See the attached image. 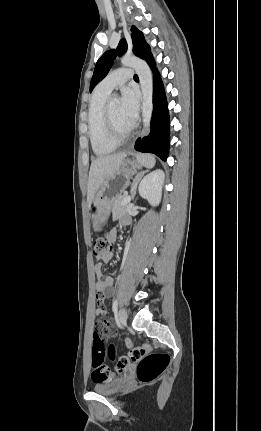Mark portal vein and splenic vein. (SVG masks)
Wrapping results in <instances>:
<instances>
[{
	"label": "portal vein and splenic vein",
	"instance_id": "1",
	"mask_svg": "<svg viewBox=\"0 0 261 431\" xmlns=\"http://www.w3.org/2000/svg\"><path fill=\"white\" fill-rule=\"evenodd\" d=\"M130 201H131V197L130 196H126V198L122 202V205L130 203Z\"/></svg>",
	"mask_w": 261,
	"mask_h": 431
}]
</instances>
